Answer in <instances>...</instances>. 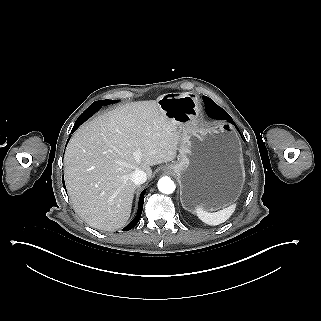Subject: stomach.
Instances as JSON below:
<instances>
[{"instance_id": "0dacf381", "label": "stomach", "mask_w": 321, "mask_h": 321, "mask_svg": "<svg viewBox=\"0 0 321 321\" xmlns=\"http://www.w3.org/2000/svg\"><path fill=\"white\" fill-rule=\"evenodd\" d=\"M158 104L166 116L191 124L199 100L194 93H170L160 96ZM179 152V160L167 166L179 182L180 201L186 211H217L237 201L245 169L241 141L230 124L186 130Z\"/></svg>"}]
</instances>
